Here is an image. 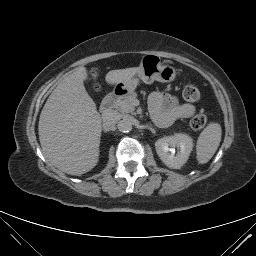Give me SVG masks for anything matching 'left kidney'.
<instances>
[{
  "label": "left kidney",
  "mask_w": 256,
  "mask_h": 256,
  "mask_svg": "<svg viewBox=\"0 0 256 256\" xmlns=\"http://www.w3.org/2000/svg\"><path fill=\"white\" fill-rule=\"evenodd\" d=\"M175 148L178 150L176 154ZM192 148L193 141L191 137L181 133L163 137L155 142L158 156L167 167L172 169H179L185 164Z\"/></svg>",
  "instance_id": "obj_1"
}]
</instances>
